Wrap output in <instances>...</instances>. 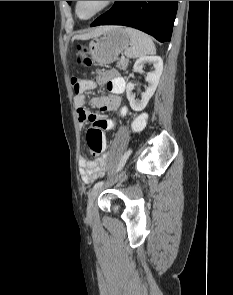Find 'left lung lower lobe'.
Segmentation results:
<instances>
[{
  "label": "left lung lower lobe",
  "mask_w": 233,
  "mask_h": 295,
  "mask_svg": "<svg viewBox=\"0 0 233 295\" xmlns=\"http://www.w3.org/2000/svg\"><path fill=\"white\" fill-rule=\"evenodd\" d=\"M178 1H116L90 26L125 25L139 29L160 42L170 41Z\"/></svg>",
  "instance_id": "obj_1"
}]
</instances>
